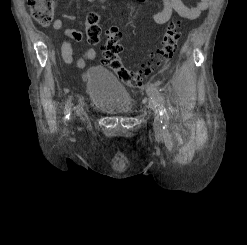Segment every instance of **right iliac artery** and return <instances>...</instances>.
<instances>
[{"mask_svg": "<svg viewBox=\"0 0 247 245\" xmlns=\"http://www.w3.org/2000/svg\"><path fill=\"white\" fill-rule=\"evenodd\" d=\"M70 104H71V102H70V99H69V101L67 102V105H66V110H65V113H66V119H69V115H70Z\"/></svg>", "mask_w": 247, "mask_h": 245, "instance_id": "82829eb1", "label": "right iliac artery"}]
</instances>
